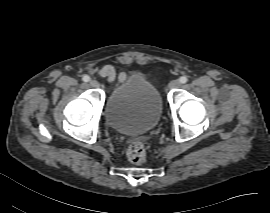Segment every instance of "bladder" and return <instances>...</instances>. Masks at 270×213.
Wrapping results in <instances>:
<instances>
[{
  "mask_svg": "<svg viewBox=\"0 0 270 213\" xmlns=\"http://www.w3.org/2000/svg\"><path fill=\"white\" fill-rule=\"evenodd\" d=\"M162 111L158 90L139 73L130 75L113 89L105 103L108 124L127 135L145 134L154 129Z\"/></svg>",
  "mask_w": 270,
  "mask_h": 213,
  "instance_id": "bladder-1",
  "label": "bladder"
}]
</instances>
